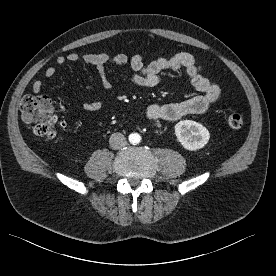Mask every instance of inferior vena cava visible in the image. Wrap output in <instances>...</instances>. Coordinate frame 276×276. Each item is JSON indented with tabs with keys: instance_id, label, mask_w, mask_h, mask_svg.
<instances>
[{
	"instance_id": "inferior-vena-cava-1",
	"label": "inferior vena cava",
	"mask_w": 276,
	"mask_h": 276,
	"mask_svg": "<svg viewBox=\"0 0 276 276\" xmlns=\"http://www.w3.org/2000/svg\"><path fill=\"white\" fill-rule=\"evenodd\" d=\"M109 144L112 149H120L127 144L126 138L122 133H113L109 139Z\"/></svg>"
}]
</instances>
